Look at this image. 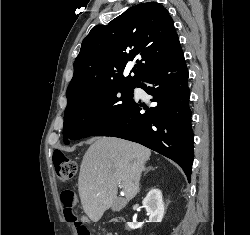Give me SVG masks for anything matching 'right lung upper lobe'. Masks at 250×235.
Masks as SVG:
<instances>
[{
    "mask_svg": "<svg viewBox=\"0 0 250 235\" xmlns=\"http://www.w3.org/2000/svg\"><path fill=\"white\" fill-rule=\"evenodd\" d=\"M179 40L167 9L157 2L129 8L108 25H97L84 38L67 88L68 103L112 86L136 87L170 55ZM134 76H123L131 63Z\"/></svg>",
    "mask_w": 250,
    "mask_h": 235,
    "instance_id": "right-lung-upper-lobe-1",
    "label": "right lung upper lobe"
}]
</instances>
